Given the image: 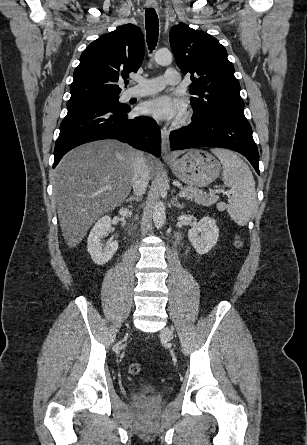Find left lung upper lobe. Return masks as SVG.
I'll return each instance as SVG.
<instances>
[{
    "label": "left lung upper lobe",
    "mask_w": 307,
    "mask_h": 445,
    "mask_svg": "<svg viewBox=\"0 0 307 445\" xmlns=\"http://www.w3.org/2000/svg\"><path fill=\"white\" fill-rule=\"evenodd\" d=\"M170 44L181 71L191 73L192 121L215 115L245 117L234 67L216 38L181 23L172 27Z\"/></svg>",
    "instance_id": "left-lung-upper-lobe-1"
}]
</instances>
